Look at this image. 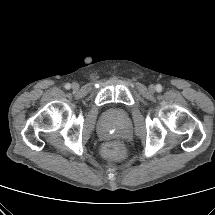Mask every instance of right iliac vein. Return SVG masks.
Segmentation results:
<instances>
[{
    "label": "right iliac vein",
    "instance_id": "obj_1",
    "mask_svg": "<svg viewBox=\"0 0 215 215\" xmlns=\"http://www.w3.org/2000/svg\"><path fill=\"white\" fill-rule=\"evenodd\" d=\"M72 89L73 90H78L79 89V84L78 83H73L72 84Z\"/></svg>",
    "mask_w": 215,
    "mask_h": 215
}]
</instances>
